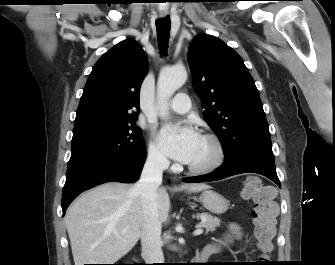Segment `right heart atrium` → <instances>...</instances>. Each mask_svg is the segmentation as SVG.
Masks as SVG:
<instances>
[{
	"label": "right heart atrium",
	"instance_id": "right-heart-atrium-1",
	"mask_svg": "<svg viewBox=\"0 0 335 265\" xmlns=\"http://www.w3.org/2000/svg\"><path fill=\"white\" fill-rule=\"evenodd\" d=\"M147 161L149 164L157 169H165L169 162L166 158L160 145L155 141L151 140L147 151Z\"/></svg>",
	"mask_w": 335,
	"mask_h": 265
}]
</instances>
